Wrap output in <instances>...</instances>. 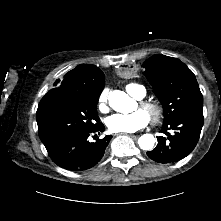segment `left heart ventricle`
Instances as JSON below:
<instances>
[{"label":"left heart ventricle","mask_w":221,"mask_h":221,"mask_svg":"<svg viewBox=\"0 0 221 221\" xmlns=\"http://www.w3.org/2000/svg\"><path fill=\"white\" fill-rule=\"evenodd\" d=\"M144 112L150 117L151 113L147 110H144Z\"/></svg>","instance_id":"1"}]
</instances>
